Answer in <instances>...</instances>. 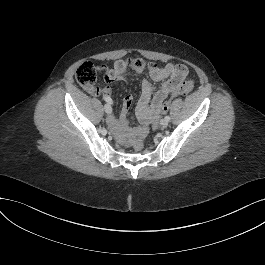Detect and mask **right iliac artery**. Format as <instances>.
<instances>
[{"label":"right iliac artery","instance_id":"right-iliac-artery-1","mask_svg":"<svg viewBox=\"0 0 265 265\" xmlns=\"http://www.w3.org/2000/svg\"><path fill=\"white\" fill-rule=\"evenodd\" d=\"M104 99H105V101H106L107 103H109V104L112 103V100H111L110 98H104Z\"/></svg>","mask_w":265,"mask_h":265}]
</instances>
